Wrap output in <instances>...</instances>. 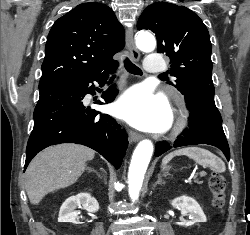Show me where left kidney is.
<instances>
[{"mask_svg":"<svg viewBox=\"0 0 250 235\" xmlns=\"http://www.w3.org/2000/svg\"><path fill=\"white\" fill-rule=\"evenodd\" d=\"M171 205L173 207H179L182 215H189V221L179 222L181 226H192L195 223L206 222V216L200 207V205L189 196H180L175 198Z\"/></svg>","mask_w":250,"mask_h":235,"instance_id":"1","label":"left kidney"}]
</instances>
